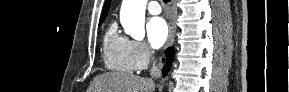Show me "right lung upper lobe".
<instances>
[{"mask_svg":"<svg viewBox=\"0 0 289 92\" xmlns=\"http://www.w3.org/2000/svg\"><path fill=\"white\" fill-rule=\"evenodd\" d=\"M109 4H110V0H105V6H104L103 11H102L100 23H102L104 21L106 15H107V12L109 10Z\"/></svg>","mask_w":289,"mask_h":92,"instance_id":"right-lung-upper-lobe-1","label":"right lung upper lobe"}]
</instances>
